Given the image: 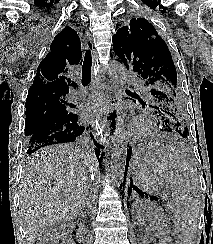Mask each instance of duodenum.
Listing matches in <instances>:
<instances>
[{
	"label": "duodenum",
	"mask_w": 213,
	"mask_h": 244,
	"mask_svg": "<svg viewBox=\"0 0 213 244\" xmlns=\"http://www.w3.org/2000/svg\"><path fill=\"white\" fill-rule=\"evenodd\" d=\"M81 228L80 225L77 223L74 227V234H76V237L79 235ZM76 244H79L78 242H76Z\"/></svg>",
	"instance_id": "410a0bca"
}]
</instances>
